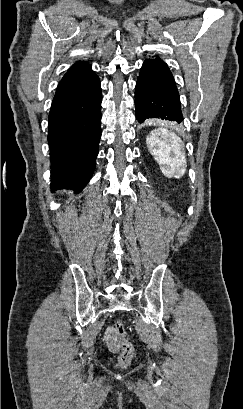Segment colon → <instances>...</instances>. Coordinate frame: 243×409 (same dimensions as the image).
Returning a JSON list of instances; mask_svg holds the SVG:
<instances>
[{
  "label": "colon",
  "instance_id": "colon-1",
  "mask_svg": "<svg viewBox=\"0 0 243 409\" xmlns=\"http://www.w3.org/2000/svg\"><path fill=\"white\" fill-rule=\"evenodd\" d=\"M115 336L120 346V353L118 356V364L122 367H126L131 363L134 356V346L126 338V329L122 321H116L114 325Z\"/></svg>",
  "mask_w": 243,
  "mask_h": 409
}]
</instances>
